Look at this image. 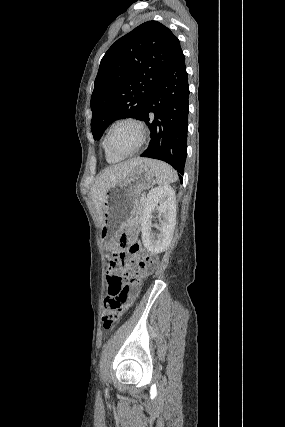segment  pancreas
Segmentation results:
<instances>
[{"label": "pancreas", "mask_w": 285, "mask_h": 427, "mask_svg": "<svg viewBox=\"0 0 285 427\" xmlns=\"http://www.w3.org/2000/svg\"><path fill=\"white\" fill-rule=\"evenodd\" d=\"M143 207H144V201H141L140 204L138 202L137 207H136V215H141L143 212Z\"/></svg>", "instance_id": "cf45deb5"}]
</instances>
